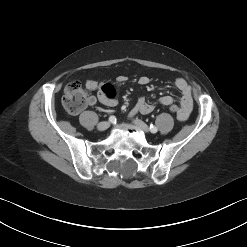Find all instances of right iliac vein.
Segmentation results:
<instances>
[{
	"label": "right iliac vein",
	"mask_w": 247,
	"mask_h": 247,
	"mask_svg": "<svg viewBox=\"0 0 247 247\" xmlns=\"http://www.w3.org/2000/svg\"><path fill=\"white\" fill-rule=\"evenodd\" d=\"M110 126V123L107 122V121H103V122H100L97 126V129L99 131H105L106 129H108Z\"/></svg>",
	"instance_id": "right-iliac-vein-1"
}]
</instances>
